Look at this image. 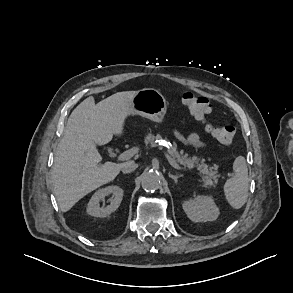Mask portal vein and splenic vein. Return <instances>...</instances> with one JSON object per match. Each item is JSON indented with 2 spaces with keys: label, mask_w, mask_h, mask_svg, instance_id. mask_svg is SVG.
<instances>
[{
  "label": "portal vein and splenic vein",
  "mask_w": 293,
  "mask_h": 293,
  "mask_svg": "<svg viewBox=\"0 0 293 293\" xmlns=\"http://www.w3.org/2000/svg\"><path fill=\"white\" fill-rule=\"evenodd\" d=\"M138 151H139V148H136V147L131 148V149L123 152L122 154H120L118 156V159L121 160V161L128 160L131 157H133L136 153H138ZM164 155H165L166 159L168 160L169 164L173 168H175L177 170H183V168L180 167L167 153H164Z\"/></svg>",
  "instance_id": "portal-vein-and-splenic-vein-1"
}]
</instances>
